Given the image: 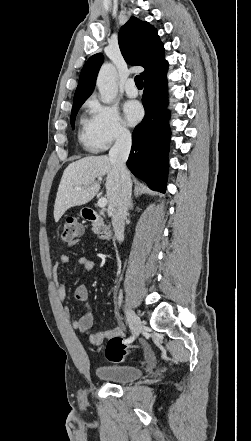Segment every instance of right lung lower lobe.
Returning a JSON list of instances; mask_svg holds the SVG:
<instances>
[{
    "label": "right lung lower lobe",
    "mask_w": 251,
    "mask_h": 441,
    "mask_svg": "<svg viewBox=\"0 0 251 441\" xmlns=\"http://www.w3.org/2000/svg\"><path fill=\"white\" fill-rule=\"evenodd\" d=\"M167 67L144 80L145 116L132 133L127 167L155 191L165 193L170 130L167 125Z\"/></svg>",
    "instance_id": "1"
}]
</instances>
